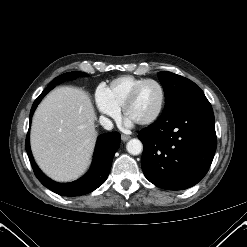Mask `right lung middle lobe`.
<instances>
[{
    "label": "right lung middle lobe",
    "mask_w": 247,
    "mask_h": 247,
    "mask_svg": "<svg viewBox=\"0 0 247 247\" xmlns=\"http://www.w3.org/2000/svg\"><path fill=\"white\" fill-rule=\"evenodd\" d=\"M85 75L86 73L83 72H68L60 75L59 77H56L49 85H56L64 82L65 80H72L79 76H85Z\"/></svg>",
    "instance_id": "obj_1"
}]
</instances>
